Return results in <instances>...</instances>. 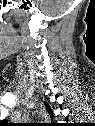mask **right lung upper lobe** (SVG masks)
Wrapping results in <instances>:
<instances>
[{
	"instance_id": "1",
	"label": "right lung upper lobe",
	"mask_w": 95,
	"mask_h": 126,
	"mask_svg": "<svg viewBox=\"0 0 95 126\" xmlns=\"http://www.w3.org/2000/svg\"><path fill=\"white\" fill-rule=\"evenodd\" d=\"M46 108L48 110V113L50 114L51 117H53V112L50 110L49 106L46 104Z\"/></svg>"
}]
</instances>
